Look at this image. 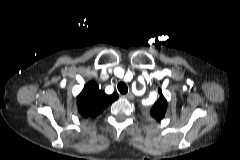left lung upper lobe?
<instances>
[{
	"mask_svg": "<svg viewBox=\"0 0 240 160\" xmlns=\"http://www.w3.org/2000/svg\"><path fill=\"white\" fill-rule=\"evenodd\" d=\"M160 98L158 101L154 104V106L151 108L150 114L153 118H155L157 121H160L166 113L167 110V101L165 97L162 95V92L159 89Z\"/></svg>",
	"mask_w": 240,
	"mask_h": 160,
	"instance_id": "left-lung-upper-lobe-1",
	"label": "left lung upper lobe"
}]
</instances>
